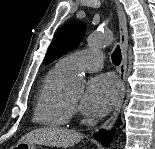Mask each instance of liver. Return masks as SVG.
<instances>
[{
    "label": "liver",
    "instance_id": "liver-1",
    "mask_svg": "<svg viewBox=\"0 0 155 149\" xmlns=\"http://www.w3.org/2000/svg\"><path fill=\"white\" fill-rule=\"evenodd\" d=\"M83 135L77 131L58 127L35 129L19 140L18 143H32L67 149L79 143Z\"/></svg>",
    "mask_w": 155,
    "mask_h": 149
}]
</instances>
